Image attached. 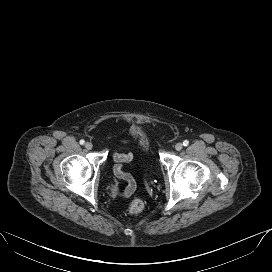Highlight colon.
<instances>
[{"mask_svg":"<svg viewBox=\"0 0 272 272\" xmlns=\"http://www.w3.org/2000/svg\"><path fill=\"white\" fill-rule=\"evenodd\" d=\"M144 209V202L141 199H134L129 206L130 214H139Z\"/></svg>","mask_w":272,"mask_h":272,"instance_id":"5ec220e1","label":"colon"}]
</instances>
